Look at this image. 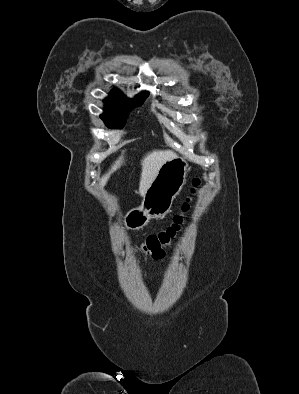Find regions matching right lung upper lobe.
Segmentation results:
<instances>
[{
  "label": "right lung upper lobe",
  "mask_w": 299,
  "mask_h": 394,
  "mask_svg": "<svg viewBox=\"0 0 299 394\" xmlns=\"http://www.w3.org/2000/svg\"><path fill=\"white\" fill-rule=\"evenodd\" d=\"M117 93H121L118 89H116V90H113V92H112V95L113 94H117ZM145 94H147L146 92H143V93H141V94H139V95H137V96H142V95H145Z\"/></svg>",
  "instance_id": "cb5924a9"
}]
</instances>
